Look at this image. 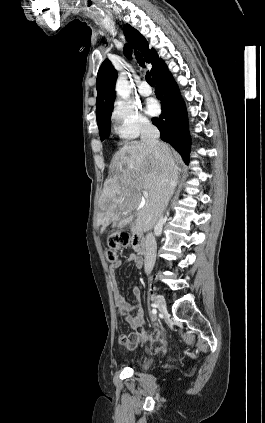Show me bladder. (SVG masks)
<instances>
[{
    "label": "bladder",
    "mask_w": 265,
    "mask_h": 423,
    "mask_svg": "<svg viewBox=\"0 0 265 423\" xmlns=\"http://www.w3.org/2000/svg\"><path fill=\"white\" fill-rule=\"evenodd\" d=\"M150 364H151V361H146V362H144V363L142 364V366H143L144 368H147V367H149V366H150Z\"/></svg>",
    "instance_id": "1"
}]
</instances>
